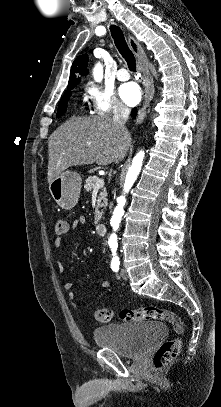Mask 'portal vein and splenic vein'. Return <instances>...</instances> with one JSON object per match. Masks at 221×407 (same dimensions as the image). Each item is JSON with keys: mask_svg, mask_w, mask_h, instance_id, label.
Returning <instances> with one entry per match:
<instances>
[{"mask_svg": "<svg viewBox=\"0 0 221 407\" xmlns=\"http://www.w3.org/2000/svg\"><path fill=\"white\" fill-rule=\"evenodd\" d=\"M104 186V179L100 178L97 180V182L95 183L94 189H99L101 187Z\"/></svg>", "mask_w": 221, "mask_h": 407, "instance_id": "18ae733b", "label": "portal vein and splenic vein"}]
</instances>
